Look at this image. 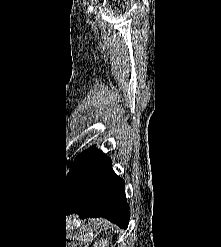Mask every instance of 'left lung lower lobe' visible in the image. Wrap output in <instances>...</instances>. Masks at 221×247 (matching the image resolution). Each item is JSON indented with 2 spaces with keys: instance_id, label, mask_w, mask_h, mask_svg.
Returning <instances> with one entry per match:
<instances>
[{
  "instance_id": "left-lung-lower-lobe-1",
  "label": "left lung lower lobe",
  "mask_w": 221,
  "mask_h": 247,
  "mask_svg": "<svg viewBox=\"0 0 221 247\" xmlns=\"http://www.w3.org/2000/svg\"><path fill=\"white\" fill-rule=\"evenodd\" d=\"M124 180L112 169L111 158L89 148L65 190V200L81 218L103 217L127 228L129 207Z\"/></svg>"
}]
</instances>
